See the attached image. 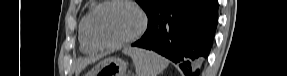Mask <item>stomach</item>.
Segmentation results:
<instances>
[{"label": "stomach", "instance_id": "obj_1", "mask_svg": "<svg viewBox=\"0 0 287 76\" xmlns=\"http://www.w3.org/2000/svg\"><path fill=\"white\" fill-rule=\"evenodd\" d=\"M126 63L116 57L106 58L98 63L86 76H124Z\"/></svg>", "mask_w": 287, "mask_h": 76}]
</instances>
